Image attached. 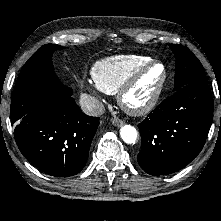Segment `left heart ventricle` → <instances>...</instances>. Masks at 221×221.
Wrapping results in <instances>:
<instances>
[{
	"label": "left heart ventricle",
	"instance_id": "1",
	"mask_svg": "<svg viewBox=\"0 0 221 221\" xmlns=\"http://www.w3.org/2000/svg\"><path fill=\"white\" fill-rule=\"evenodd\" d=\"M162 67L159 65L151 67L139 80L137 85L129 92L126 101L130 105H140L152 95L161 77Z\"/></svg>",
	"mask_w": 221,
	"mask_h": 221
}]
</instances>
